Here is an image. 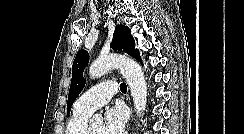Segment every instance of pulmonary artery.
<instances>
[{"instance_id": "obj_1", "label": "pulmonary artery", "mask_w": 244, "mask_h": 134, "mask_svg": "<svg viewBox=\"0 0 244 134\" xmlns=\"http://www.w3.org/2000/svg\"><path fill=\"white\" fill-rule=\"evenodd\" d=\"M117 92V84L112 81H104L87 90L75 102L74 108L77 111L92 114L102 107Z\"/></svg>"}]
</instances>
